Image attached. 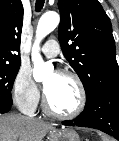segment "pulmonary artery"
I'll list each match as a JSON object with an SVG mask.
<instances>
[{"label":"pulmonary artery","instance_id":"e3ab8cb5","mask_svg":"<svg viewBox=\"0 0 119 141\" xmlns=\"http://www.w3.org/2000/svg\"><path fill=\"white\" fill-rule=\"evenodd\" d=\"M59 49V43L55 39H49L44 43L41 51L47 58H54L58 55Z\"/></svg>","mask_w":119,"mask_h":141}]
</instances>
